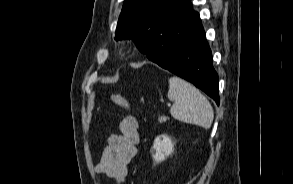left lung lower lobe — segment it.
Here are the masks:
<instances>
[{
	"label": "left lung lower lobe",
	"mask_w": 293,
	"mask_h": 184,
	"mask_svg": "<svg viewBox=\"0 0 293 184\" xmlns=\"http://www.w3.org/2000/svg\"><path fill=\"white\" fill-rule=\"evenodd\" d=\"M148 50L155 52L148 57L151 61L193 83L219 105L218 75L199 14L190 0L182 2L171 16L168 30Z\"/></svg>",
	"instance_id": "0a47b994"
}]
</instances>
